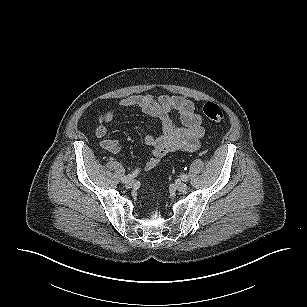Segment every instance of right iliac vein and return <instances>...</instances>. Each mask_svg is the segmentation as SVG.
I'll list each match as a JSON object with an SVG mask.
<instances>
[{
  "instance_id": "right-iliac-vein-1",
  "label": "right iliac vein",
  "mask_w": 307,
  "mask_h": 307,
  "mask_svg": "<svg viewBox=\"0 0 307 307\" xmlns=\"http://www.w3.org/2000/svg\"><path fill=\"white\" fill-rule=\"evenodd\" d=\"M135 186V182H133V181H130V182H128L127 184H126V188H133Z\"/></svg>"
}]
</instances>
